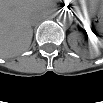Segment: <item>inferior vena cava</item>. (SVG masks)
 <instances>
[{
	"mask_svg": "<svg viewBox=\"0 0 103 103\" xmlns=\"http://www.w3.org/2000/svg\"><path fill=\"white\" fill-rule=\"evenodd\" d=\"M42 15H32L31 21L33 20H40Z\"/></svg>",
	"mask_w": 103,
	"mask_h": 103,
	"instance_id": "1",
	"label": "inferior vena cava"
}]
</instances>
